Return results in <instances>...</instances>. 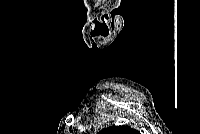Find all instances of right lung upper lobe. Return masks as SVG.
I'll list each match as a JSON object with an SVG mask.
<instances>
[{
	"instance_id": "obj_1",
	"label": "right lung upper lobe",
	"mask_w": 200,
	"mask_h": 134,
	"mask_svg": "<svg viewBox=\"0 0 200 134\" xmlns=\"http://www.w3.org/2000/svg\"><path fill=\"white\" fill-rule=\"evenodd\" d=\"M100 133L102 134H136V130L130 128L129 126H115L103 129Z\"/></svg>"
}]
</instances>
